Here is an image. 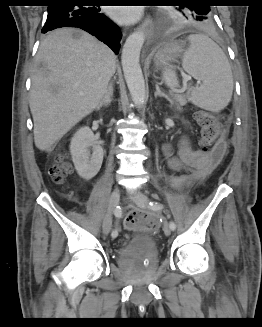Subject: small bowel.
<instances>
[{
  "instance_id": "c3829d8e",
  "label": "small bowel",
  "mask_w": 262,
  "mask_h": 327,
  "mask_svg": "<svg viewBox=\"0 0 262 327\" xmlns=\"http://www.w3.org/2000/svg\"><path fill=\"white\" fill-rule=\"evenodd\" d=\"M164 152L168 157L170 169L178 173L171 178L173 186L188 185L191 180L207 174L215 165L208 163V154L192 149L186 139L180 142L177 156H171L168 145L165 146Z\"/></svg>"
}]
</instances>
